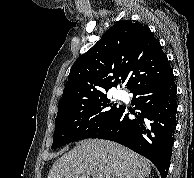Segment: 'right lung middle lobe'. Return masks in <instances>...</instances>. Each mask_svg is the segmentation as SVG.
<instances>
[{"label":"right lung middle lobe","mask_w":194,"mask_h":178,"mask_svg":"<svg viewBox=\"0 0 194 178\" xmlns=\"http://www.w3.org/2000/svg\"><path fill=\"white\" fill-rule=\"evenodd\" d=\"M117 108L106 95L86 101L76 107L59 111L55 119L52 149L72 141L87 138L93 131L115 115Z\"/></svg>","instance_id":"right-lung-middle-lobe-1"}]
</instances>
